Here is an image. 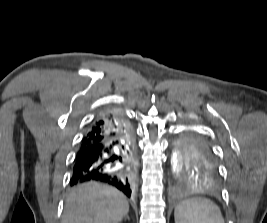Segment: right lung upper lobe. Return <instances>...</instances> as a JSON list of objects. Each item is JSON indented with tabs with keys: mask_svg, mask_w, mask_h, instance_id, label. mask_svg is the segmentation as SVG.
Wrapping results in <instances>:
<instances>
[{
	"mask_svg": "<svg viewBox=\"0 0 267 223\" xmlns=\"http://www.w3.org/2000/svg\"><path fill=\"white\" fill-rule=\"evenodd\" d=\"M130 126L126 117L120 112H105L99 115L89 127L82 140L83 147L100 143L105 139L118 136L124 127Z\"/></svg>",
	"mask_w": 267,
	"mask_h": 223,
	"instance_id": "1",
	"label": "right lung upper lobe"
}]
</instances>
